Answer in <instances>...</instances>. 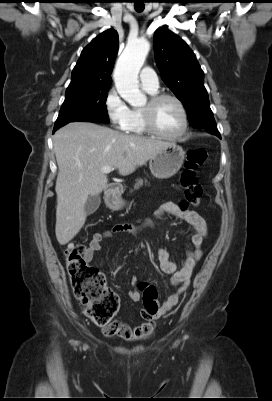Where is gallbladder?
I'll list each match as a JSON object with an SVG mask.
<instances>
[{
  "instance_id": "obj_1",
  "label": "gallbladder",
  "mask_w": 272,
  "mask_h": 401,
  "mask_svg": "<svg viewBox=\"0 0 272 401\" xmlns=\"http://www.w3.org/2000/svg\"><path fill=\"white\" fill-rule=\"evenodd\" d=\"M101 198L99 195H89L84 210L87 215L93 214L100 206Z\"/></svg>"
}]
</instances>
